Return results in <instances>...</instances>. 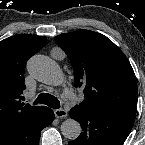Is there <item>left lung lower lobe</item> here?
Returning a JSON list of instances; mask_svg holds the SVG:
<instances>
[{"label": "left lung lower lobe", "mask_w": 145, "mask_h": 145, "mask_svg": "<svg viewBox=\"0 0 145 145\" xmlns=\"http://www.w3.org/2000/svg\"><path fill=\"white\" fill-rule=\"evenodd\" d=\"M83 132L68 145H122L128 137L135 114L122 112H92L79 107L70 110Z\"/></svg>", "instance_id": "obj_1"}]
</instances>
